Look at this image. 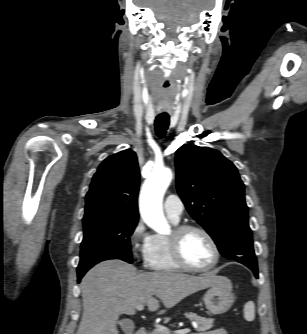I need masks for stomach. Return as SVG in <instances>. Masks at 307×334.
Wrapping results in <instances>:
<instances>
[{"label":"stomach","mask_w":307,"mask_h":334,"mask_svg":"<svg viewBox=\"0 0 307 334\" xmlns=\"http://www.w3.org/2000/svg\"><path fill=\"white\" fill-rule=\"evenodd\" d=\"M217 283L211 286L204 295L207 310L214 315L227 312L233 302L232 283L224 276H216Z\"/></svg>","instance_id":"1"}]
</instances>
